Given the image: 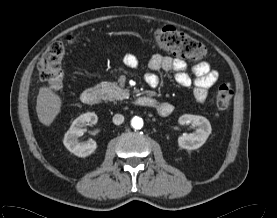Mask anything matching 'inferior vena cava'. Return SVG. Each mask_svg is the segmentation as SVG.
I'll list each match as a JSON object with an SVG mask.
<instances>
[{
  "instance_id": "1",
  "label": "inferior vena cava",
  "mask_w": 277,
  "mask_h": 218,
  "mask_svg": "<svg viewBox=\"0 0 277 218\" xmlns=\"http://www.w3.org/2000/svg\"><path fill=\"white\" fill-rule=\"evenodd\" d=\"M112 121L115 125H120L124 121V116L122 114H115Z\"/></svg>"
}]
</instances>
